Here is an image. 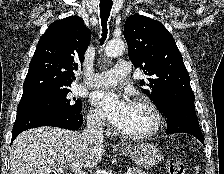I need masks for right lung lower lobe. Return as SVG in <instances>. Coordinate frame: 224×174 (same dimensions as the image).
<instances>
[{
  "instance_id": "1",
  "label": "right lung lower lobe",
  "mask_w": 224,
  "mask_h": 174,
  "mask_svg": "<svg viewBox=\"0 0 224 174\" xmlns=\"http://www.w3.org/2000/svg\"><path fill=\"white\" fill-rule=\"evenodd\" d=\"M83 123V115L59 114L40 107H22L17 109L13 126L12 142L21 132L40 126H54L69 130H77Z\"/></svg>"
}]
</instances>
